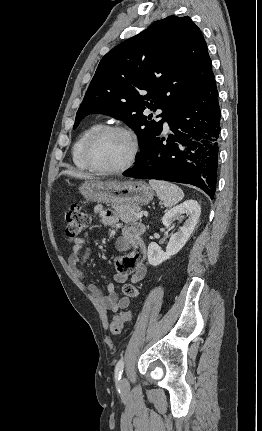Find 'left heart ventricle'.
<instances>
[{
	"mask_svg": "<svg viewBox=\"0 0 262 431\" xmlns=\"http://www.w3.org/2000/svg\"><path fill=\"white\" fill-rule=\"evenodd\" d=\"M131 153V143L122 133L110 132L101 136L93 148L94 161L105 168L123 165Z\"/></svg>",
	"mask_w": 262,
	"mask_h": 431,
	"instance_id": "left-heart-ventricle-1",
	"label": "left heart ventricle"
}]
</instances>
